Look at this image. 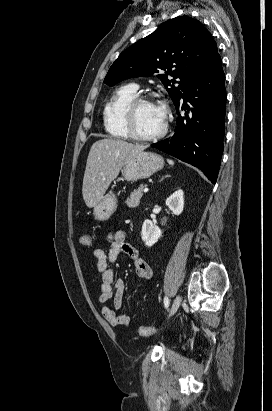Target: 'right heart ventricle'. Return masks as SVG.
I'll use <instances>...</instances> for the list:
<instances>
[{
    "label": "right heart ventricle",
    "instance_id": "e07e8e85",
    "mask_svg": "<svg viewBox=\"0 0 272 411\" xmlns=\"http://www.w3.org/2000/svg\"><path fill=\"white\" fill-rule=\"evenodd\" d=\"M137 96L133 85H124L116 90L103 109V122L106 132L112 137L128 138L124 124V110L127 104Z\"/></svg>",
    "mask_w": 272,
    "mask_h": 411
}]
</instances>
